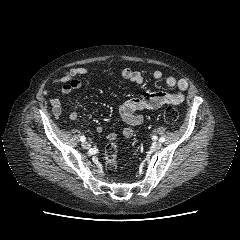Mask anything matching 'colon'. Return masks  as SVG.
Masks as SVG:
<instances>
[{
	"mask_svg": "<svg viewBox=\"0 0 240 240\" xmlns=\"http://www.w3.org/2000/svg\"><path fill=\"white\" fill-rule=\"evenodd\" d=\"M179 118L178 111L173 107H167L163 112V119L168 124L175 123ZM105 165L106 169L109 172H114L117 169L118 161H117V144L114 140H110V142L106 145L104 151Z\"/></svg>",
	"mask_w": 240,
	"mask_h": 240,
	"instance_id": "1",
	"label": "colon"
}]
</instances>
